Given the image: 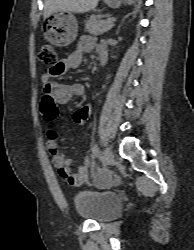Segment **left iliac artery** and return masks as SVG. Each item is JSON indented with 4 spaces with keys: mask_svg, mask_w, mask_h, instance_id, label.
I'll list each match as a JSON object with an SVG mask.
<instances>
[{
    "mask_svg": "<svg viewBox=\"0 0 194 250\" xmlns=\"http://www.w3.org/2000/svg\"><path fill=\"white\" fill-rule=\"evenodd\" d=\"M92 151H93L94 157H98L100 155V150H99L98 144H95Z\"/></svg>",
    "mask_w": 194,
    "mask_h": 250,
    "instance_id": "44dca946",
    "label": "left iliac artery"
}]
</instances>
